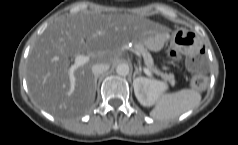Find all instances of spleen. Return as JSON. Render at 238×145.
Segmentation results:
<instances>
[{"mask_svg": "<svg viewBox=\"0 0 238 145\" xmlns=\"http://www.w3.org/2000/svg\"><path fill=\"white\" fill-rule=\"evenodd\" d=\"M200 101L201 94L194 89L160 94L150 116L157 120H171L197 107Z\"/></svg>", "mask_w": 238, "mask_h": 145, "instance_id": "spleen-1", "label": "spleen"}]
</instances>
